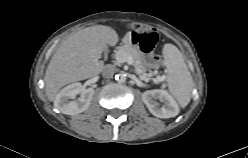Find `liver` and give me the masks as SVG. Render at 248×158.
<instances>
[{
    "label": "liver",
    "mask_w": 248,
    "mask_h": 158,
    "mask_svg": "<svg viewBox=\"0 0 248 158\" xmlns=\"http://www.w3.org/2000/svg\"><path fill=\"white\" fill-rule=\"evenodd\" d=\"M118 34L108 26L96 25L81 29L64 39L52 56L44 77L50 101L67 84L98 75L104 69L100 60L103 50L115 46Z\"/></svg>",
    "instance_id": "liver-1"
}]
</instances>
